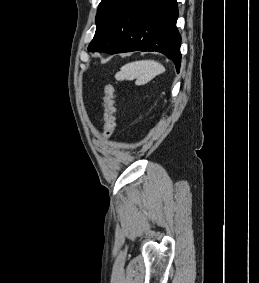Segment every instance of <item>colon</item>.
Returning <instances> with one entry per match:
<instances>
[{
    "label": "colon",
    "mask_w": 259,
    "mask_h": 283,
    "mask_svg": "<svg viewBox=\"0 0 259 283\" xmlns=\"http://www.w3.org/2000/svg\"><path fill=\"white\" fill-rule=\"evenodd\" d=\"M116 91L112 84L104 86V107L105 119L103 133L109 137L117 126L116 106H115Z\"/></svg>",
    "instance_id": "1"
}]
</instances>
